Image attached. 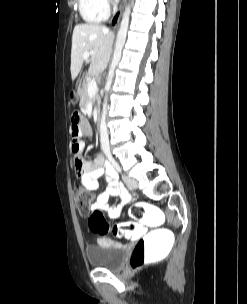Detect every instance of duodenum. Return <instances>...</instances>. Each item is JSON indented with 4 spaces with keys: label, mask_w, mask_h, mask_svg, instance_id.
<instances>
[{
    "label": "duodenum",
    "mask_w": 247,
    "mask_h": 304,
    "mask_svg": "<svg viewBox=\"0 0 247 304\" xmlns=\"http://www.w3.org/2000/svg\"><path fill=\"white\" fill-rule=\"evenodd\" d=\"M85 81H86V80H85V78H83V77L80 78V80L78 81L77 84H78V86H79L78 88H79L80 90L83 88L82 86H83V84L85 83ZM95 122L97 123L96 129L99 130L101 127H100V117H99L98 114L95 115Z\"/></svg>",
    "instance_id": "obj_1"
}]
</instances>
